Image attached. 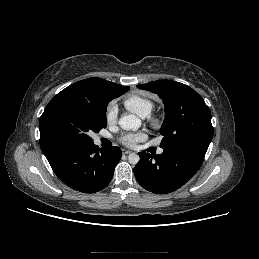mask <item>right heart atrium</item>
<instances>
[{
	"label": "right heart atrium",
	"instance_id": "right-heart-atrium-1",
	"mask_svg": "<svg viewBox=\"0 0 259 259\" xmlns=\"http://www.w3.org/2000/svg\"><path fill=\"white\" fill-rule=\"evenodd\" d=\"M118 114V108L115 101H110L106 107V119L109 123H113Z\"/></svg>",
	"mask_w": 259,
	"mask_h": 259
}]
</instances>
